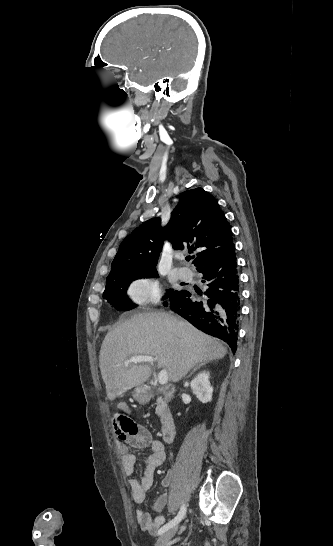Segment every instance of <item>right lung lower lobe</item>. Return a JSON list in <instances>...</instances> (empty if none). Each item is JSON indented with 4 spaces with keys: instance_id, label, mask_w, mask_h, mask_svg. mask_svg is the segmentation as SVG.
<instances>
[{
    "instance_id": "right-lung-lower-lobe-1",
    "label": "right lung lower lobe",
    "mask_w": 333,
    "mask_h": 546,
    "mask_svg": "<svg viewBox=\"0 0 333 546\" xmlns=\"http://www.w3.org/2000/svg\"><path fill=\"white\" fill-rule=\"evenodd\" d=\"M198 271L208 286L203 300L186 290L175 291L169 297L170 309L203 332L226 342L235 353L241 297L234 244Z\"/></svg>"
}]
</instances>
